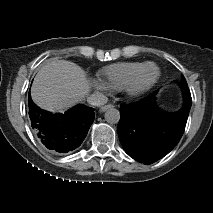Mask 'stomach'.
<instances>
[{
  "label": "stomach",
  "mask_w": 213,
  "mask_h": 213,
  "mask_svg": "<svg viewBox=\"0 0 213 213\" xmlns=\"http://www.w3.org/2000/svg\"><path fill=\"white\" fill-rule=\"evenodd\" d=\"M160 103H161V105L163 106V107H166L168 104V102H167V100H166V98L165 97H163L161 100H160Z\"/></svg>",
  "instance_id": "stomach-1"
}]
</instances>
